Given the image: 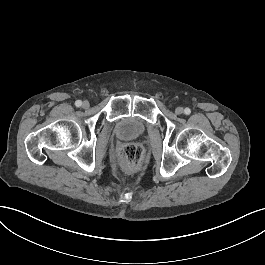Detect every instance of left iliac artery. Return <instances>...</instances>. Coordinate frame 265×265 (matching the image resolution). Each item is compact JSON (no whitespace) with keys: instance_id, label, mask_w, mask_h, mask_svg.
Instances as JSON below:
<instances>
[{"instance_id":"obj_1","label":"left iliac artery","mask_w":265,"mask_h":265,"mask_svg":"<svg viewBox=\"0 0 265 265\" xmlns=\"http://www.w3.org/2000/svg\"><path fill=\"white\" fill-rule=\"evenodd\" d=\"M184 112L186 115H189L191 113V110L189 108H185Z\"/></svg>"}]
</instances>
